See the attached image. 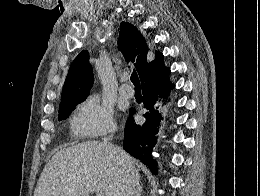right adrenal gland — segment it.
Wrapping results in <instances>:
<instances>
[{"label": "right adrenal gland", "instance_id": "1", "mask_svg": "<svg viewBox=\"0 0 260 196\" xmlns=\"http://www.w3.org/2000/svg\"><path fill=\"white\" fill-rule=\"evenodd\" d=\"M133 196H141V194H138V192H137V194H133Z\"/></svg>", "mask_w": 260, "mask_h": 196}]
</instances>
